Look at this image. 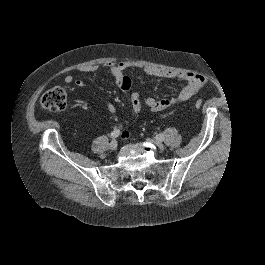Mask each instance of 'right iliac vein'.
I'll use <instances>...</instances> for the list:
<instances>
[{"instance_id":"63e3f726","label":"right iliac vein","mask_w":265,"mask_h":265,"mask_svg":"<svg viewBox=\"0 0 265 265\" xmlns=\"http://www.w3.org/2000/svg\"><path fill=\"white\" fill-rule=\"evenodd\" d=\"M117 146H118L117 141H116V140H113V141L110 143L109 148H110L111 151H116Z\"/></svg>"}]
</instances>
